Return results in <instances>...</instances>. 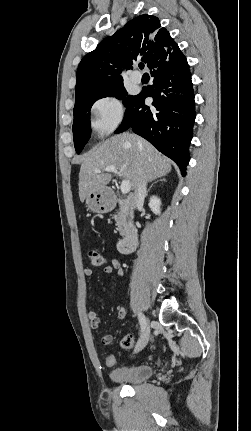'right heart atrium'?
<instances>
[{
	"instance_id": "obj_1",
	"label": "right heart atrium",
	"mask_w": 251,
	"mask_h": 431,
	"mask_svg": "<svg viewBox=\"0 0 251 431\" xmlns=\"http://www.w3.org/2000/svg\"><path fill=\"white\" fill-rule=\"evenodd\" d=\"M124 108L121 100L114 95H104L96 99L90 107V123L99 135L113 132L122 122Z\"/></svg>"
}]
</instances>
